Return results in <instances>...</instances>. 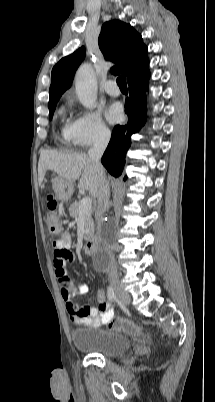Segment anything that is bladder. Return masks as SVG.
<instances>
[{
  "mask_svg": "<svg viewBox=\"0 0 215 402\" xmlns=\"http://www.w3.org/2000/svg\"><path fill=\"white\" fill-rule=\"evenodd\" d=\"M72 340L78 351L105 358L120 356L131 348V341L126 335L110 329H83L75 332Z\"/></svg>",
  "mask_w": 215,
  "mask_h": 402,
  "instance_id": "1",
  "label": "bladder"
}]
</instances>
